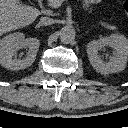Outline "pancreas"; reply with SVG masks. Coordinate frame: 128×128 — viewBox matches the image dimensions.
<instances>
[{
  "mask_svg": "<svg viewBox=\"0 0 128 128\" xmlns=\"http://www.w3.org/2000/svg\"><path fill=\"white\" fill-rule=\"evenodd\" d=\"M83 7H84V10H88L89 8V0H83ZM101 25L107 29V30H113V31H117V28L113 25H110L106 22H101Z\"/></svg>",
  "mask_w": 128,
  "mask_h": 128,
  "instance_id": "obj_1",
  "label": "pancreas"
}]
</instances>
